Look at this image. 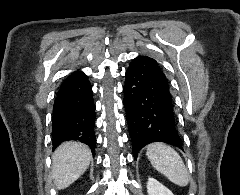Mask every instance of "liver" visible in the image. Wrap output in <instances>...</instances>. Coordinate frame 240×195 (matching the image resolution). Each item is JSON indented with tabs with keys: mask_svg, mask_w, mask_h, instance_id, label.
Here are the masks:
<instances>
[{
	"mask_svg": "<svg viewBox=\"0 0 240 195\" xmlns=\"http://www.w3.org/2000/svg\"><path fill=\"white\" fill-rule=\"evenodd\" d=\"M92 159L91 149L81 141L61 143L52 155V177L57 189H64L78 179Z\"/></svg>",
	"mask_w": 240,
	"mask_h": 195,
	"instance_id": "liver-1",
	"label": "liver"
}]
</instances>
